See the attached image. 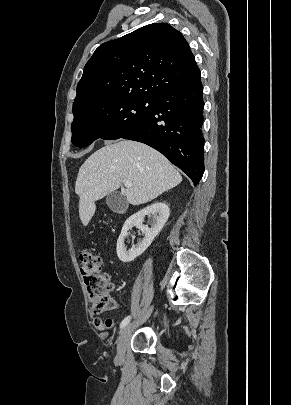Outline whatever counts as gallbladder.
Segmentation results:
<instances>
[{
    "instance_id": "obj_1",
    "label": "gallbladder",
    "mask_w": 291,
    "mask_h": 405,
    "mask_svg": "<svg viewBox=\"0 0 291 405\" xmlns=\"http://www.w3.org/2000/svg\"><path fill=\"white\" fill-rule=\"evenodd\" d=\"M106 204L115 213L125 211L128 206L125 196L119 192L110 193L106 198Z\"/></svg>"
}]
</instances>
